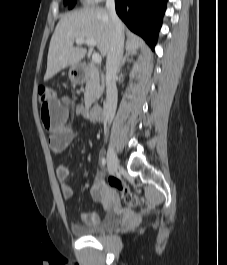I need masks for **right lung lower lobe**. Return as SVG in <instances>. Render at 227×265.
Wrapping results in <instances>:
<instances>
[{"label":"right lung lower lobe","mask_w":227,"mask_h":265,"mask_svg":"<svg viewBox=\"0 0 227 265\" xmlns=\"http://www.w3.org/2000/svg\"><path fill=\"white\" fill-rule=\"evenodd\" d=\"M167 0H115L116 12L130 30L154 49Z\"/></svg>","instance_id":"right-lung-lower-lobe-1"}]
</instances>
